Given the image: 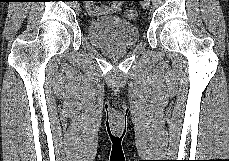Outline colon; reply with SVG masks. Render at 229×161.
<instances>
[{"mask_svg":"<svg viewBox=\"0 0 229 161\" xmlns=\"http://www.w3.org/2000/svg\"><path fill=\"white\" fill-rule=\"evenodd\" d=\"M89 1H96V0H89ZM116 1V0H113ZM124 16L128 20H135L138 17V11L134 8L126 9L124 12Z\"/></svg>","mask_w":229,"mask_h":161,"instance_id":"colon-1","label":"colon"}]
</instances>
